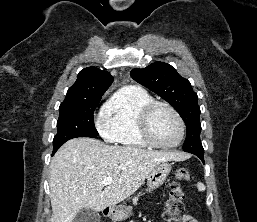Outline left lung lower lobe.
<instances>
[{
  "mask_svg": "<svg viewBox=\"0 0 257 222\" xmlns=\"http://www.w3.org/2000/svg\"><path fill=\"white\" fill-rule=\"evenodd\" d=\"M194 155H196L197 157H199L201 159V161L204 163V153L201 154V153H192Z\"/></svg>",
  "mask_w": 257,
  "mask_h": 222,
  "instance_id": "0a47b994",
  "label": "left lung lower lobe"
}]
</instances>
